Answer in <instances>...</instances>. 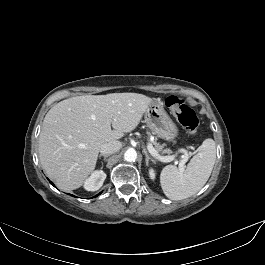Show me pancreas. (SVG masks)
Instances as JSON below:
<instances>
[{
  "label": "pancreas",
  "mask_w": 265,
  "mask_h": 265,
  "mask_svg": "<svg viewBox=\"0 0 265 265\" xmlns=\"http://www.w3.org/2000/svg\"><path fill=\"white\" fill-rule=\"evenodd\" d=\"M156 151L158 153H161V154H170L171 153V150L170 149H164V146L160 145L159 143H157L156 141L153 143Z\"/></svg>",
  "instance_id": "1"
}]
</instances>
